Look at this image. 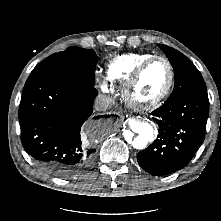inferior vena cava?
<instances>
[{
	"label": "inferior vena cava",
	"instance_id": "602c4592",
	"mask_svg": "<svg viewBox=\"0 0 221 221\" xmlns=\"http://www.w3.org/2000/svg\"><path fill=\"white\" fill-rule=\"evenodd\" d=\"M113 99L109 95H98L94 102L97 111H105L112 107Z\"/></svg>",
	"mask_w": 221,
	"mask_h": 221
}]
</instances>
